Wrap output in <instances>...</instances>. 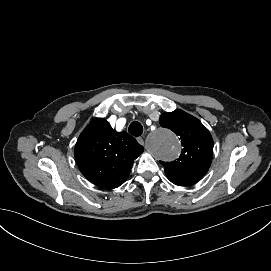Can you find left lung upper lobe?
I'll use <instances>...</instances> for the list:
<instances>
[{
  "instance_id": "left-lung-upper-lobe-1",
  "label": "left lung upper lobe",
  "mask_w": 271,
  "mask_h": 271,
  "mask_svg": "<svg viewBox=\"0 0 271 271\" xmlns=\"http://www.w3.org/2000/svg\"><path fill=\"white\" fill-rule=\"evenodd\" d=\"M159 123L180 136L183 146L177 160L160 162L167 178L178 186L198 182L207 173L212 161L213 139L209 131L197 118L180 109L164 112Z\"/></svg>"
}]
</instances>
